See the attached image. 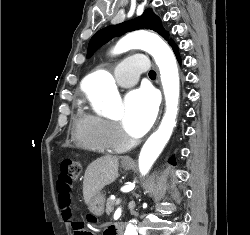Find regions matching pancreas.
Masks as SVG:
<instances>
[{
  "instance_id": "obj_1",
  "label": "pancreas",
  "mask_w": 250,
  "mask_h": 235,
  "mask_svg": "<svg viewBox=\"0 0 250 235\" xmlns=\"http://www.w3.org/2000/svg\"><path fill=\"white\" fill-rule=\"evenodd\" d=\"M114 205H115V201L112 200L111 198H108L107 202H106V213L107 214H110L111 212H113Z\"/></svg>"
}]
</instances>
